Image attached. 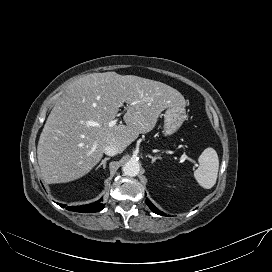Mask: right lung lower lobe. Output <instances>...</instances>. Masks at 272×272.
<instances>
[{"mask_svg":"<svg viewBox=\"0 0 272 272\" xmlns=\"http://www.w3.org/2000/svg\"><path fill=\"white\" fill-rule=\"evenodd\" d=\"M101 199L87 205L79 206V207H66L65 204H60L58 203L61 207H66L67 210L70 211H77V212H83V213H93V212H98L101 211L104 208V205L100 203Z\"/></svg>","mask_w":272,"mask_h":272,"instance_id":"1","label":"right lung lower lobe"}]
</instances>
